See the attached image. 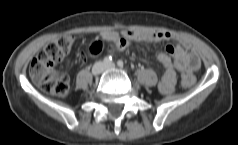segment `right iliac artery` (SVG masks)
<instances>
[{"label":"right iliac artery","instance_id":"82829eb1","mask_svg":"<svg viewBox=\"0 0 238 145\" xmlns=\"http://www.w3.org/2000/svg\"><path fill=\"white\" fill-rule=\"evenodd\" d=\"M103 61L105 64H110L112 63L113 59L111 56H106Z\"/></svg>","mask_w":238,"mask_h":145}]
</instances>
